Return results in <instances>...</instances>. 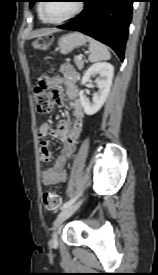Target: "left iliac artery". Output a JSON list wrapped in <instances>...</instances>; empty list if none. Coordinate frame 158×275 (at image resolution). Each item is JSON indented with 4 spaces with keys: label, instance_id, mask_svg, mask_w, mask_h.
Wrapping results in <instances>:
<instances>
[{
    "label": "left iliac artery",
    "instance_id": "44dca946",
    "mask_svg": "<svg viewBox=\"0 0 158 275\" xmlns=\"http://www.w3.org/2000/svg\"><path fill=\"white\" fill-rule=\"evenodd\" d=\"M78 196H79V195H77V196L73 197L72 199H70L69 201L65 202V203L63 204L62 208L64 209V208H67V207H69L70 205H72V204L76 201V199L78 198Z\"/></svg>",
    "mask_w": 158,
    "mask_h": 275
}]
</instances>
